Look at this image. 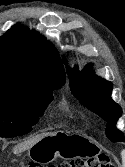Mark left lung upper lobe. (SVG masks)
<instances>
[{
  "label": "left lung upper lobe",
  "instance_id": "left-lung-upper-lobe-1",
  "mask_svg": "<svg viewBox=\"0 0 125 167\" xmlns=\"http://www.w3.org/2000/svg\"><path fill=\"white\" fill-rule=\"evenodd\" d=\"M89 64L87 67H90ZM70 88L80 103L107 121L106 135L113 142H124V134L116 128L121 117V107L111 98L112 83L96 76L92 71L75 67L67 69Z\"/></svg>",
  "mask_w": 125,
  "mask_h": 167
}]
</instances>
